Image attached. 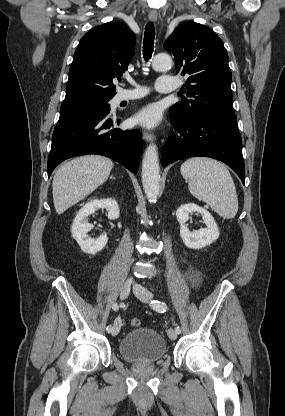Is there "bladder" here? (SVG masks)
<instances>
[{"label": "bladder", "mask_w": 285, "mask_h": 416, "mask_svg": "<svg viewBox=\"0 0 285 416\" xmlns=\"http://www.w3.org/2000/svg\"><path fill=\"white\" fill-rule=\"evenodd\" d=\"M118 352L121 360L130 363L156 364L166 357L167 345L163 335H159L154 328L140 327L122 336Z\"/></svg>", "instance_id": "31cf9c89"}]
</instances>
